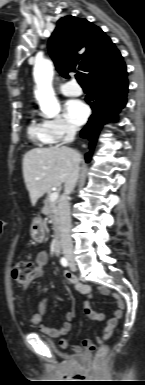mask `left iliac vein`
Wrapping results in <instances>:
<instances>
[{
    "instance_id": "obj_1",
    "label": "left iliac vein",
    "mask_w": 145,
    "mask_h": 385,
    "mask_svg": "<svg viewBox=\"0 0 145 385\" xmlns=\"http://www.w3.org/2000/svg\"><path fill=\"white\" fill-rule=\"evenodd\" d=\"M70 269H71L72 271H76V265H75L74 263H71V264H70Z\"/></svg>"
}]
</instances>
